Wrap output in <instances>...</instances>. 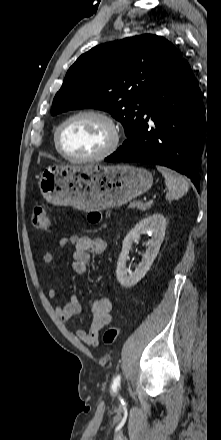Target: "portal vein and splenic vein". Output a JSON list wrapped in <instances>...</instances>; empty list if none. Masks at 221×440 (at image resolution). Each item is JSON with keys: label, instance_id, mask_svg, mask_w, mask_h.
Returning <instances> with one entry per match:
<instances>
[{"label": "portal vein and splenic vein", "instance_id": "1", "mask_svg": "<svg viewBox=\"0 0 221 440\" xmlns=\"http://www.w3.org/2000/svg\"><path fill=\"white\" fill-rule=\"evenodd\" d=\"M148 203H153V200H152V199H150V200L148 201Z\"/></svg>", "mask_w": 221, "mask_h": 440}]
</instances>
